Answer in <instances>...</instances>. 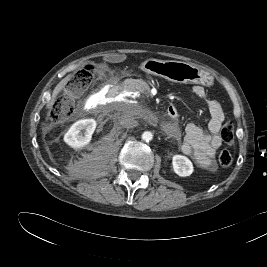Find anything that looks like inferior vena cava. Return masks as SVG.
I'll use <instances>...</instances> for the list:
<instances>
[{"instance_id":"602c4592","label":"inferior vena cava","mask_w":267,"mask_h":267,"mask_svg":"<svg viewBox=\"0 0 267 267\" xmlns=\"http://www.w3.org/2000/svg\"><path fill=\"white\" fill-rule=\"evenodd\" d=\"M119 123L122 127L124 128H134L138 126V121L135 120L131 115L129 114H124L120 117Z\"/></svg>"}]
</instances>
